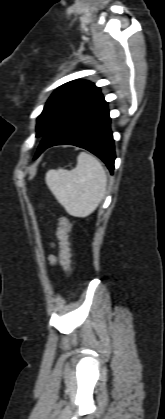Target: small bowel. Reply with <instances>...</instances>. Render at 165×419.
<instances>
[{
	"mask_svg": "<svg viewBox=\"0 0 165 419\" xmlns=\"http://www.w3.org/2000/svg\"><path fill=\"white\" fill-rule=\"evenodd\" d=\"M49 261H50V263H51L52 265H55V264L57 263V259H56V257H55V256H53V255H51V256L49 257Z\"/></svg>",
	"mask_w": 165,
	"mask_h": 419,
	"instance_id": "small-bowel-1",
	"label": "small bowel"
}]
</instances>
